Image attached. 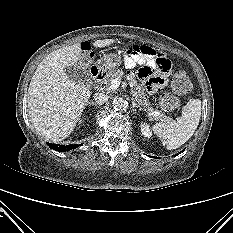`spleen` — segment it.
I'll list each match as a JSON object with an SVG mask.
<instances>
[{"mask_svg":"<svg viewBox=\"0 0 233 233\" xmlns=\"http://www.w3.org/2000/svg\"><path fill=\"white\" fill-rule=\"evenodd\" d=\"M201 117V100L190 99L182 109V116L178 121L171 120L168 123H156L153 132L162 139V144L167 149L179 148L194 134Z\"/></svg>","mask_w":233,"mask_h":233,"instance_id":"obj_1","label":"spleen"}]
</instances>
